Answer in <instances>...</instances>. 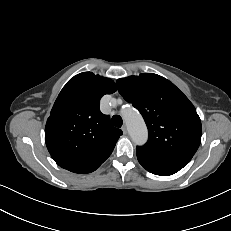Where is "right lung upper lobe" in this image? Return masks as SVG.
<instances>
[{
  "mask_svg": "<svg viewBox=\"0 0 231 231\" xmlns=\"http://www.w3.org/2000/svg\"><path fill=\"white\" fill-rule=\"evenodd\" d=\"M116 90L111 79L91 72L74 76L63 87L45 127L46 146L59 166L90 173L110 156L122 131L99 106L103 95Z\"/></svg>",
  "mask_w": 231,
  "mask_h": 231,
  "instance_id": "obj_1",
  "label": "right lung upper lobe"
}]
</instances>
